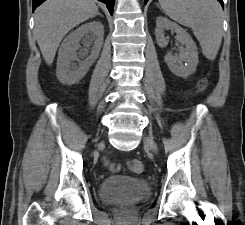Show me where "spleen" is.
Returning <instances> with one entry per match:
<instances>
[{"label":"spleen","instance_id":"spleen-1","mask_svg":"<svg viewBox=\"0 0 245 225\" xmlns=\"http://www.w3.org/2000/svg\"><path fill=\"white\" fill-rule=\"evenodd\" d=\"M164 13L179 24L190 27L203 55L214 60L222 41V8L217 0H159Z\"/></svg>","mask_w":245,"mask_h":225}]
</instances>
